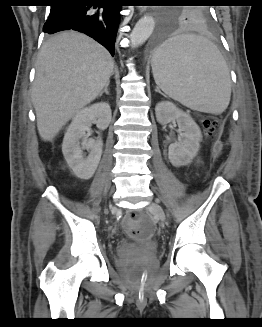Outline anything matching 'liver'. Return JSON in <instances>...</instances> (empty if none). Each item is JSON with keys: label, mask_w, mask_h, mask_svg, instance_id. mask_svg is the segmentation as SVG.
<instances>
[{"label": "liver", "mask_w": 262, "mask_h": 327, "mask_svg": "<svg viewBox=\"0 0 262 327\" xmlns=\"http://www.w3.org/2000/svg\"><path fill=\"white\" fill-rule=\"evenodd\" d=\"M113 69L110 53L87 35L66 31L50 37L40 50L32 90L41 139L52 141L109 84Z\"/></svg>", "instance_id": "6515ba94"}]
</instances>
